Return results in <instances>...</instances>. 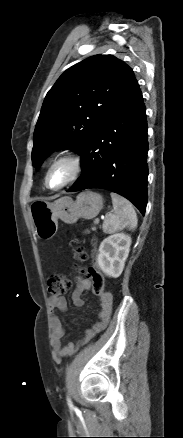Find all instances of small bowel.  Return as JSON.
<instances>
[{"label": "small bowel", "instance_id": "small-bowel-1", "mask_svg": "<svg viewBox=\"0 0 183 438\" xmlns=\"http://www.w3.org/2000/svg\"><path fill=\"white\" fill-rule=\"evenodd\" d=\"M89 289H91V281L88 278L79 277L77 280V285L71 295L72 303L75 307L83 306L84 301L82 295ZM99 307L98 319L90 328L85 331L83 341L91 339L95 334L99 333L107 326L113 307V297L111 293L106 292L104 295L99 297ZM49 310V324L52 330L54 348L60 356H69L74 352L76 344L73 342H68L63 345L61 343V339L65 334V329L60 317L56 314V311H67L66 298L64 296L50 297Z\"/></svg>", "mask_w": 183, "mask_h": 438}]
</instances>
